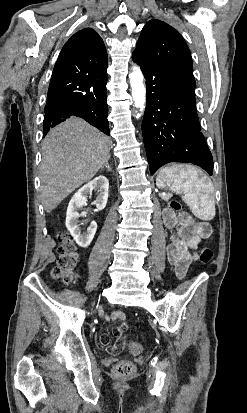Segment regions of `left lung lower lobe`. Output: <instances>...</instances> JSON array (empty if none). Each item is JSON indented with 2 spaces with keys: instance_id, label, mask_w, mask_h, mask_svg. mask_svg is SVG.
<instances>
[{
  "instance_id": "1",
  "label": "left lung lower lobe",
  "mask_w": 247,
  "mask_h": 413,
  "mask_svg": "<svg viewBox=\"0 0 247 413\" xmlns=\"http://www.w3.org/2000/svg\"><path fill=\"white\" fill-rule=\"evenodd\" d=\"M146 79L142 134L150 173L169 162L193 163L213 174V159L196 112L195 86L133 53Z\"/></svg>"
}]
</instances>
